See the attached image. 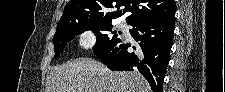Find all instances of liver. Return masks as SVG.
Here are the masks:
<instances>
[{"instance_id": "obj_1", "label": "liver", "mask_w": 225, "mask_h": 92, "mask_svg": "<svg viewBox=\"0 0 225 92\" xmlns=\"http://www.w3.org/2000/svg\"><path fill=\"white\" fill-rule=\"evenodd\" d=\"M138 72L111 71L101 62L81 57L52 69L46 92H150Z\"/></svg>"}]
</instances>
